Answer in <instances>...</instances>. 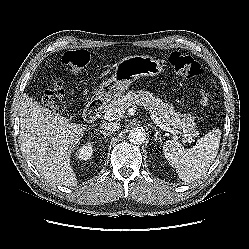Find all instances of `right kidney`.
I'll return each mask as SVG.
<instances>
[{
  "mask_svg": "<svg viewBox=\"0 0 249 249\" xmlns=\"http://www.w3.org/2000/svg\"><path fill=\"white\" fill-rule=\"evenodd\" d=\"M93 142H86L83 144L76 153V158L80 160L90 159L93 153Z\"/></svg>",
  "mask_w": 249,
  "mask_h": 249,
  "instance_id": "obj_1",
  "label": "right kidney"
}]
</instances>
